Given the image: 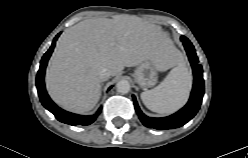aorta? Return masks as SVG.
<instances>
[{
  "label": "aorta",
  "mask_w": 248,
  "mask_h": 158,
  "mask_svg": "<svg viewBox=\"0 0 248 158\" xmlns=\"http://www.w3.org/2000/svg\"><path fill=\"white\" fill-rule=\"evenodd\" d=\"M117 91L121 94H127L130 91V83L127 80H121L116 84Z\"/></svg>",
  "instance_id": "aorta-1"
}]
</instances>
